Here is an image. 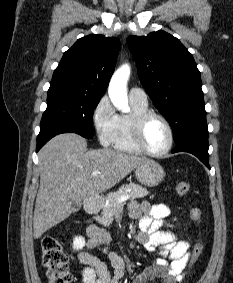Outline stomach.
<instances>
[{"label":"stomach","instance_id":"stomach-1","mask_svg":"<svg viewBox=\"0 0 233 283\" xmlns=\"http://www.w3.org/2000/svg\"><path fill=\"white\" fill-rule=\"evenodd\" d=\"M135 175L141 184L154 187L164 179L165 172L160 164L149 160L136 168Z\"/></svg>","mask_w":233,"mask_h":283}]
</instances>
